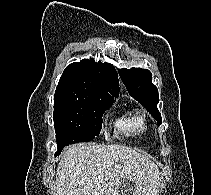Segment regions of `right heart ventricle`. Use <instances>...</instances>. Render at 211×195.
I'll return each instance as SVG.
<instances>
[{
	"instance_id": "obj_1",
	"label": "right heart ventricle",
	"mask_w": 211,
	"mask_h": 195,
	"mask_svg": "<svg viewBox=\"0 0 211 195\" xmlns=\"http://www.w3.org/2000/svg\"><path fill=\"white\" fill-rule=\"evenodd\" d=\"M117 128L127 134L143 132L147 128V120L142 112L136 111L123 116L117 122Z\"/></svg>"
}]
</instances>
